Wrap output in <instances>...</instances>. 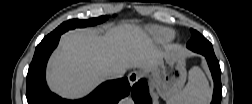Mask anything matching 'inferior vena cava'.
I'll use <instances>...</instances> for the list:
<instances>
[{"label": "inferior vena cava", "instance_id": "inferior-vena-cava-1", "mask_svg": "<svg viewBox=\"0 0 252 104\" xmlns=\"http://www.w3.org/2000/svg\"><path fill=\"white\" fill-rule=\"evenodd\" d=\"M125 69L124 68H113V69H108L104 72V75L107 78H120L125 74Z\"/></svg>", "mask_w": 252, "mask_h": 104}]
</instances>
